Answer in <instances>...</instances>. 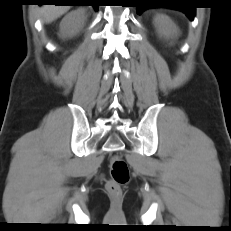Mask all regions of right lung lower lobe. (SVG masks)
I'll list each match as a JSON object with an SVG mask.
<instances>
[{
    "instance_id": "right-lung-lower-lobe-1",
    "label": "right lung lower lobe",
    "mask_w": 231,
    "mask_h": 231,
    "mask_svg": "<svg viewBox=\"0 0 231 231\" xmlns=\"http://www.w3.org/2000/svg\"><path fill=\"white\" fill-rule=\"evenodd\" d=\"M40 1V4H45V3H55L56 5H80L79 0H38ZM91 5V4H87ZM95 10H98V6L92 5Z\"/></svg>"
}]
</instances>
